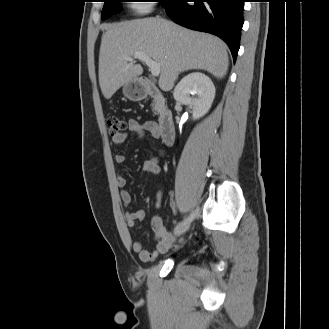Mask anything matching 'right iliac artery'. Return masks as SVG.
<instances>
[{
	"label": "right iliac artery",
	"instance_id": "obj_1",
	"mask_svg": "<svg viewBox=\"0 0 329 329\" xmlns=\"http://www.w3.org/2000/svg\"><path fill=\"white\" fill-rule=\"evenodd\" d=\"M194 217H195V213L192 212L187 218L179 222L178 225L184 224L185 222H191L194 219Z\"/></svg>",
	"mask_w": 329,
	"mask_h": 329
}]
</instances>
